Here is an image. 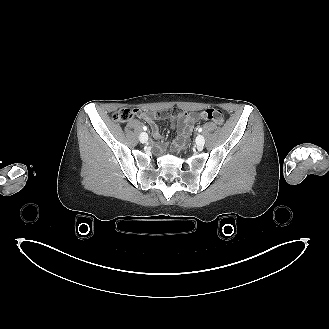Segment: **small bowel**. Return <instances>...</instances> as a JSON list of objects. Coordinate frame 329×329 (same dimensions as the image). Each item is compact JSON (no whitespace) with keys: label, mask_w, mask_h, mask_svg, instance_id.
I'll return each instance as SVG.
<instances>
[{"label":"small bowel","mask_w":329,"mask_h":329,"mask_svg":"<svg viewBox=\"0 0 329 329\" xmlns=\"http://www.w3.org/2000/svg\"><path fill=\"white\" fill-rule=\"evenodd\" d=\"M138 116L150 124L153 137L157 140L160 139L161 134L155 121L157 119L169 118L173 127L178 131V137L172 144V147L177 150L186 146L188 137L197 122V117L194 113H181L177 107H172L169 111L140 112ZM165 147L164 144H160L161 149H165Z\"/></svg>","instance_id":"c3829d8e"}]
</instances>
